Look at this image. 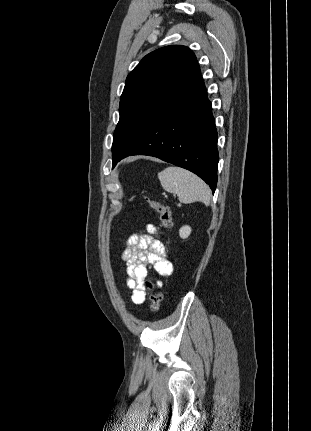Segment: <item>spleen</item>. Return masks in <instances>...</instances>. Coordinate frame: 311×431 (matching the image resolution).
<instances>
[{
	"instance_id": "1",
	"label": "spleen",
	"mask_w": 311,
	"mask_h": 431,
	"mask_svg": "<svg viewBox=\"0 0 311 431\" xmlns=\"http://www.w3.org/2000/svg\"><path fill=\"white\" fill-rule=\"evenodd\" d=\"M158 180H160L163 190L170 194H177L178 200L182 204H192V202H203L205 206L210 204V188L188 170L165 168L163 172H159Z\"/></svg>"
}]
</instances>
